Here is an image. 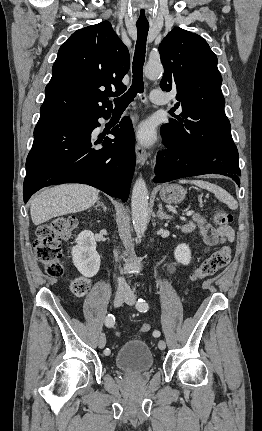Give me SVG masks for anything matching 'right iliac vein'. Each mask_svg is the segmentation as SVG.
<instances>
[{
  "label": "right iliac vein",
  "instance_id": "obj_1",
  "mask_svg": "<svg viewBox=\"0 0 262 431\" xmlns=\"http://www.w3.org/2000/svg\"><path fill=\"white\" fill-rule=\"evenodd\" d=\"M127 293L124 291H117L114 297V306L119 307L123 301L126 299ZM106 345V337L104 334H101L98 340V346L100 349H103Z\"/></svg>",
  "mask_w": 262,
  "mask_h": 431
}]
</instances>
